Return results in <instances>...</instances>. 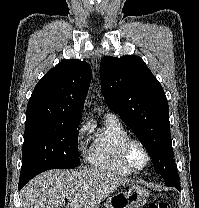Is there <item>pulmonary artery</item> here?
I'll return each instance as SVG.
<instances>
[{"label":"pulmonary artery","instance_id":"e3ab8cb5","mask_svg":"<svg viewBox=\"0 0 199 208\" xmlns=\"http://www.w3.org/2000/svg\"><path fill=\"white\" fill-rule=\"evenodd\" d=\"M106 116H111V117H115L113 114H107Z\"/></svg>","mask_w":199,"mask_h":208}]
</instances>
